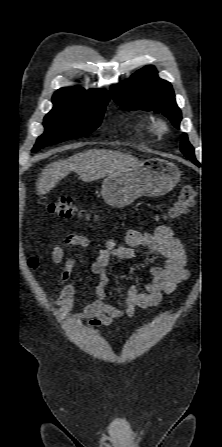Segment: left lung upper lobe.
<instances>
[{
  "label": "left lung upper lobe",
  "instance_id": "obj_1",
  "mask_svg": "<svg viewBox=\"0 0 222 447\" xmlns=\"http://www.w3.org/2000/svg\"><path fill=\"white\" fill-rule=\"evenodd\" d=\"M111 93L115 102L123 109L162 113L179 128L181 111L176 104L172 85L158 77L154 66L138 70L128 82L111 86ZM181 151L191 161L196 160L186 134L181 142Z\"/></svg>",
  "mask_w": 222,
  "mask_h": 447
}]
</instances>
